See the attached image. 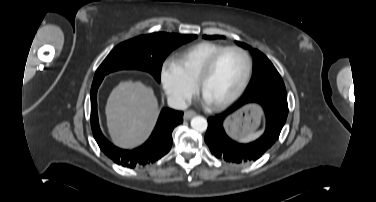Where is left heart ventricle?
Masks as SVG:
<instances>
[{
    "label": "left heart ventricle",
    "mask_w": 376,
    "mask_h": 202,
    "mask_svg": "<svg viewBox=\"0 0 376 202\" xmlns=\"http://www.w3.org/2000/svg\"><path fill=\"white\" fill-rule=\"evenodd\" d=\"M244 57L234 51L224 54L203 85V96L208 103H218L240 86L245 74Z\"/></svg>",
    "instance_id": "1"
}]
</instances>
